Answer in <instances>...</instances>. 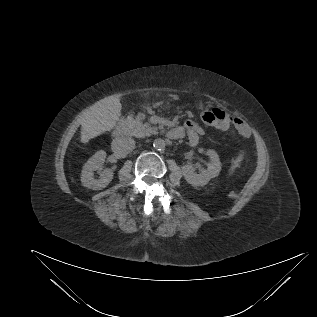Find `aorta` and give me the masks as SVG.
Returning <instances> with one entry per match:
<instances>
[{"mask_svg":"<svg viewBox=\"0 0 317 317\" xmlns=\"http://www.w3.org/2000/svg\"><path fill=\"white\" fill-rule=\"evenodd\" d=\"M153 146L157 150H162L165 148V141L161 138L155 139L153 142Z\"/></svg>","mask_w":317,"mask_h":317,"instance_id":"1","label":"aorta"}]
</instances>
